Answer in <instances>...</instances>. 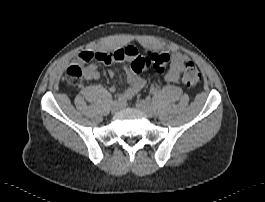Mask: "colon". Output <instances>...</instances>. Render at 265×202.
I'll return each mask as SVG.
<instances>
[{
	"mask_svg": "<svg viewBox=\"0 0 265 202\" xmlns=\"http://www.w3.org/2000/svg\"><path fill=\"white\" fill-rule=\"evenodd\" d=\"M131 56H134L133 52L120 49L115 52L107 53L106 56L99 55L98 58L106 62H114L121 61L126 57ZM169 63L170 57L168 54L148 52L144 55H135L131 63V68L136 73H141L148 70L162 73ZM65 79L73 86L80 85L84 80L83 65L79 63L68 66L65 72ZM181 80L186 87L192 88L202 81V75L192 62H187L184 66Z\"/></svg>",
	"mask_w": 265,
	"mask_h": 202,
	"instance_id": "5ec220e1",
	"label": "colon"
}]
</instances>
